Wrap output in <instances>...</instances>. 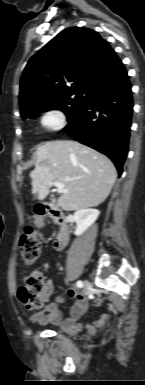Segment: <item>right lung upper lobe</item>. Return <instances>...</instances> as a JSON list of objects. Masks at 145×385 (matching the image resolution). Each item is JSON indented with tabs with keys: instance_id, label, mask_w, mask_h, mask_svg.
Here are the masks:
<instances>
[{
	"instance_id": "cb5924a9",
	"label": "right lung upper lobe",
	"mask_w": 145,
	"mask_h": 385,
	"mask_svg": "<svg viewBox=\"0 0 145 385\" xmlns=\"http://www.w3.org/2000/svg\"><path fill=\"white\" fill-rule=\"evenodd\" d=\"M123 71L121 60L97 32L65 29L25 67L20 80L21 115L72 90L91 91Z\"/></svg>"
}]
</instances>
